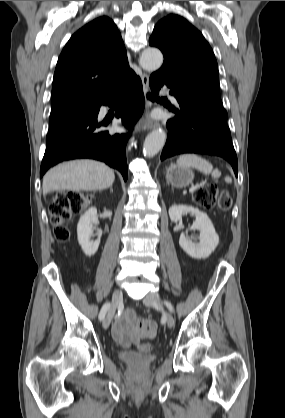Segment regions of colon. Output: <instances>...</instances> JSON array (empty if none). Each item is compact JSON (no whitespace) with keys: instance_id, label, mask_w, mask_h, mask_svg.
Here are the masks:
<instances>
[{"instance_id":"1","label":"colon","mask_w":285,"mask_h":418,"mask_svg":"<svg viewBox=\"0 0 285 418\" xmlns=\"http://www.w3.org/2000/svg\"><path fill=\"white\" fill-rule=\"evenodd\" d=\"M194 200L204 208L219 207L222 211L231 208L232 200L228 193L220 191L213 183L201 185L194 192ZM86 204L85 195L79 191H59L50 207V216L56 224L54 236L60 242L67 241L71 231L66 221L82 212ZM142 352H150L152 345L143 342L139 345Z\"/></svg>"}]
</instances>
